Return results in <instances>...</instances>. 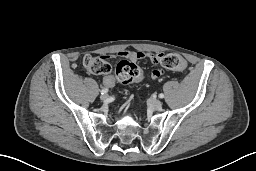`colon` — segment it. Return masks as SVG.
<instances>
[{
	"label": "colon",
	"instance_id": "colon-1",
	"mask_svg": "<svg viewBox=\"0 0 256 171\" xmlns=\"http://www.w3.org/2000/svg\"><path fill=\"white\" fill-rule=\"evenodd\" d=\"M84 67L92 74H106L111 70L110 64L103 57L85 56L82 59ZM161 65L170 70H180L184 66V60L177 54H165L161 61ZM116 75L119 81L123 83H133L142 80V69L131 61H121L116 67Z\"/></svg>",
	"mask_w": 256,
	"mask_h": 171
}]
</instances>
